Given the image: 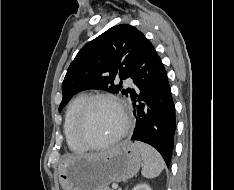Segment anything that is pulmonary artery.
<instances>
[{
  "instance_id": "1",
  "label": "pulmonary artery",
  "mask_w": 234,
  "mask_h": 190,
  "mask_svg": "<svg viewBox=\"0 0 234 190\" xmlns=\"http://www.w3.org/2000/svg\"><path fill=\"white\" fill-rule=\"evenodd\" d=\"M126 84L128 85V86H130V87H133L134 85H133V82L131 81V80H127L126 81Z\"/></svg>"
}]
</instances>
